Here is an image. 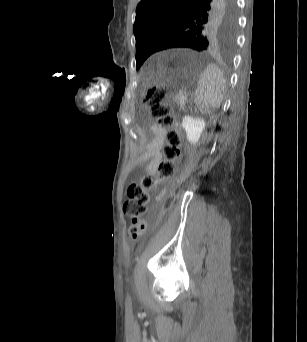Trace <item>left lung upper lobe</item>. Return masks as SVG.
<instances>
[{
	"mask_svg": "<svg viewBox=\"0 0 307 342\" xmlns=\"http://www.w3.org/2000/svg\"><path fill=\"white\" fill-rule=\"evenodd\" d=\"M236 26L234 0H141L134 23L137 69L169 48L229 54Z\"/></svg>",
	"mask_w": 307,
	"mask_h": 342,
	"instance_id": "1",
	"label": "left lung upper lobe"
}]
</instances>
